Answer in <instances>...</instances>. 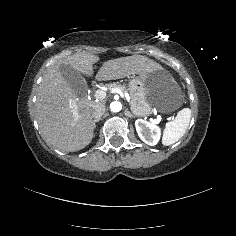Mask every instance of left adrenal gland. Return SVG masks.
<instances>
[{"mask_svg":"<svg viewBox=\"0 0 236 236\" xmlns=\"http://www.w3.org/2000/svg\"><path fill=\"white\" fill-rule=\"evenodd\" d=\"M125 114L130 118L134 117L127 108L125 109Z\"/></svg>","mask_w":236,"mask_h":236,"instance_id":"left-adrenal-gland-1","label":"left adrenal gland"}]
</instances>
